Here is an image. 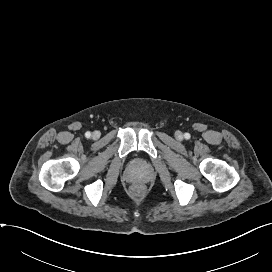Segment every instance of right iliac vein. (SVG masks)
<instances>
[{"label": "right iliac vein", "instance_id": "1", "mask_svg": "<svg viewBox=\"0 0 272 272\" xmlns=\"http://www.w3.org/2000/svg\"><path fill=\"white\" fill-rule=\"evenodd\" d=\"M99 136H100V133H99L98 131H95V132L92 134V137H93L94 139L99 138Z\"/></svg>", "mask_w": 272, "mask_h": 272}]
</instances>
